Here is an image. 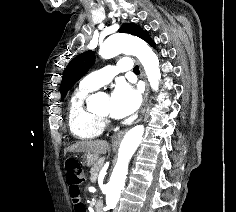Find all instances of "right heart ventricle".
<instances>
[{
  "mask_svg": "<svg viewBox=\"0 0 236 212\" xmlns=\"http://www.w3.org/2000/svg\"><path fill=\"white\" fill-rule=\"evenodd\" d=\"M95 90L80 83L69 103V127L72 134L79 139L99 137L106 128V123L85 105L87 97Z\"/></svg>",
  "mask_w": 236,
  "mask_h": 212,
  "instance_id": "right-heart-ventricle-1",
  "label": "right heart ventricle"
}]
</instances>
